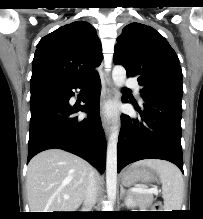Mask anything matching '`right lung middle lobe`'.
Segmentation results:
<instances>
[{
  "label": "right lung middle lobe",
  "instance_id": "right-lung-middle-lobe-1",
  "mask_svg": "<svg viewBox=\"0 0 203 219\" xmlns=\"http://www.w3.org/2000/svg\"><path fill=\"white\" fill-rule=\"evenodd\" d=\"M52 81L49 80H42V81H36V82H31V88L37 85H42V84H47L50 83Z\"/></svg>",
  "mask_w": 203,
  "mask_h": 219
}]
</instances>
